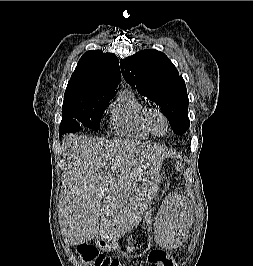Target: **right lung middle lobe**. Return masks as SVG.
<instances>
[{
	"label": "right lung middle lobe",
	"instance_id": "1",
	"mask_svg": "<svg viewBox=\"0 0 253 266\" xmlns=\"http://www.w3.org/2000/svg\"><path fill=\"white\" fill-rule=\"evenodd\" d=\"M113 96H106L86 103H70L62 106V121L59 131L62 134L80 129V124L98 130L104 111Z\"/></svg>",
	"mask_w": 253,
	"mask_h": 266
}]
</instances>
